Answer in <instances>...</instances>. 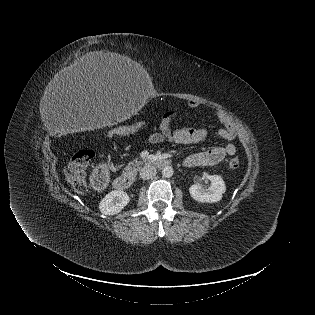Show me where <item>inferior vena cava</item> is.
I'll return each mask as SVG.
<instances>
[{
    "label": "inferior vena cava",
    "instance_id": "obj_1",
    "mask_svg": "<svg viewBox=\"0 0 315 315\" xmlns=\"http://www.w3.org/2000/svg\"><path fill=\"white\" fill-rule=\"evenodd\" d=\"M157 171L156 168L150 164H146L141 170H140V177L144 180L151 179L156 175Z\"/></svg>",
    "mask_w": 315,
    "mask_h": 315
}]
</instances>
